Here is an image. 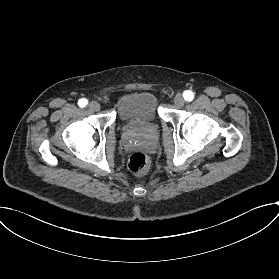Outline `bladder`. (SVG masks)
Returning <instances> with one entry per match:
<instances>
[{
	"label": "bladder",
	"mask_w": 279,
	"mask_h": 279,
	"mask_svg": "<svg viewBox=\"0 0 279 279\" xmlns=\"http://www.w3.org/2000/svg\"><path fill=\"white\" fill-rule=\"evenodd\" d=\"M160 113L155 95L148 91L124 97L116 109L119 124L146 119L153 123Z\"/></svg>",
	"instance_id": "obj_1"
}]
</instances>
